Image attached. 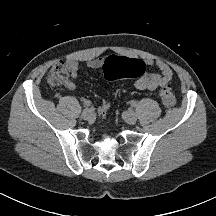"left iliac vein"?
I'll return each mask as SVG.
<instances>
[{
	"mask_svg": "<svg viewBox=\"0 0 216 216\" xmlns=\"http://www.w3.org/2000/svg\"><path fill=\"white\" fill-rule=\"evenodd\" d=\"M123 118L128 124H132V125L135 124L137 121L136 114L131 110L125 111L123 113Z\"/></svg>",
	"mask_w": 216,
	"mask_h": 216,
	"instance_id": "4c4485c4",
	"label": "left iliac vein"
}]
</instances>
